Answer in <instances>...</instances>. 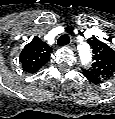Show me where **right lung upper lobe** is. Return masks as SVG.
Returning <instances> with one entry per match:
<instances>
[{
  "label": "right lung upper lobe",
  "mask_w": 115,
  "mask_h": 119,
  "mask_svg": "<svg viewBox=\"0 0 115 119\" xmlns=\"http://www.w3.org/2000/svg\"><path fill=\"white\" fill-rule=\"evenodd\" d=\"M51 52V47L35 36L20 53L23 70L28 73L37 72L48 62Z\"/></svg>",
  "instance_id": "right-lung-upper-lobe-1"
}]
</instances>
